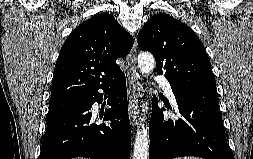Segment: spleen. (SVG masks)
Returning <instances> with one entry per match:
<instances>
[{
  "label": "spleen",
  "mask_w": 253,
  "mask_h": 159,
  "mask_svg": "<svg viewBox=\"0 0 253 159\" xmlns=\"http://www.w3.org/2000/svg\"><path fill=\"white\" fill-rule=\"evenodd\" d=\"M176 159H200L198 157H192V156H188V157H181V158H176Z\"/></svg>",
  "instance_id": "spleen-1"
}]
</instances>
